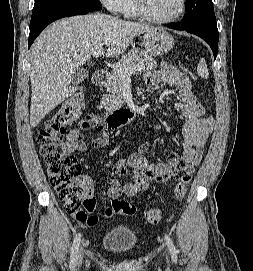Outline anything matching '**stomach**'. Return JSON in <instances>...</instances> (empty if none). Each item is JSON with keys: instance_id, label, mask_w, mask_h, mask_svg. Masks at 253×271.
I'll list each match as a JSON object with an SVG mask.
<instances>
[{"instance_id": "1", "label": "stomach", "mask_w": 253, "mask_h": 271, "mask_svg": "<svg viewBox=\"0 0 253 271\" xmlns=\"http://www.w3.org/2000/svg\"><path fill=\"white\" fill-rule=\"evenodd\" d=\"M143 44L150 55L161 56L173 48L174 39L164 29L156 28L145 32L143 35Z\"/></svg>"}]
</instances>
